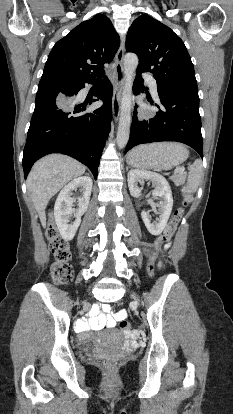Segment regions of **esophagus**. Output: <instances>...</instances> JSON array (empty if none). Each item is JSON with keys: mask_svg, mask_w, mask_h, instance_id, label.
Returning <instances> with one entry per match:
<instances>
[{"mask_svg": "<svg viewBox=\"0 0 233 414\" xmlns=\"http://www.w3.org/2000/svg\"><path fill=\"white\" fill-rule=\"evenodd\" d=\"M125 53V39L121 40L119 50L116 55L114 76H113V97H112V112L115 122L118 121L121 108V97L124 89L125 71L123 66V59Z\"/></svg>", "mask_w": 233, "mask_h": 414, "instance_id": "esophagus-1", "label": "esophagus"}]
</instances>
